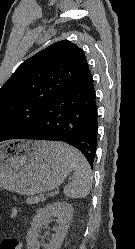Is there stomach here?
Masks as SVG:
<instances>
[{
    "mask_svg": "<svg viewBox=\"0 0 135 249\" xmlns=\"http://www.w3.org/2000/svg\"><path fill=\"white\" fill-rule=\"evenodd\" d=\"M48 141L0 145V188L33 195L57 188L72 171L70 160Z\"/></svg>",
    "mask_w": 135,
    "mask_h": 249,
    "instance_id": "0dacf381",
    "label": "stomach"
}]
</instances>
